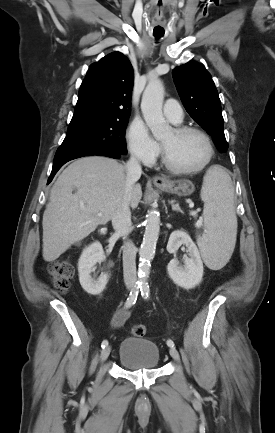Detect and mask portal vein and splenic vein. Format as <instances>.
<instances>
[{
  "label": "portal vein and splenic vein",
  "mask_w": 275,
  "mask_h": 433,
  "mask_svg": "<svg viewBox=\"0 0 275 433\" xmlns=\"http://www.w3.org/2000/svg\"><path fill=\"white\" fill-rule=\"evenodd\" d=\"M99 216H101V214H98ZM192 215H194V216H196V213L195 212H192ZM202 225V219L200 218L198 221H197V223H196V226H201Z\"/></svg>",
  "instance_id": "portal-vein-and-splenic-vein-1"
}]
</instances>
